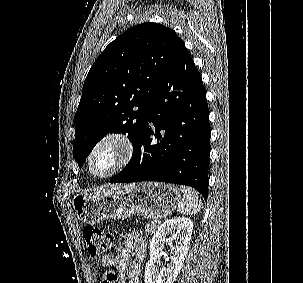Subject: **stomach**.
<instances>
[{
	"label": "stomach",
	"mask_w": 303,
	"mask_h": 283,
	"mask_svg": "<svg viewBox=\"0 0 303 283\" xmlns=\"http://www.w3.org/2000/svg\"><path fill=\"white\" fill-rule=\"evenodd\" d=\"M181 204L180 190L167 183L115 185L93 193L77 194L72 205L78 219L96 224L104 219L166 218Z\"/></svg>",
	"instance_id": "0dacf381"
}]
</instances>
